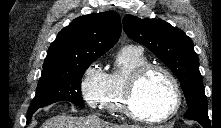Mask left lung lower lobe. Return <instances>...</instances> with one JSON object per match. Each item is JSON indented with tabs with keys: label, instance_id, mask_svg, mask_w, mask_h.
Wrapping results in <instances>:
<instances>
[{
	"label": "left lung lower lobe",
	"instance_id": "1",
	"mask_svg": "<svg viewBox=\"0 0 221 128\" xmlns=\"http://www.w3.org/2000/svg\"><path fill=\"white\" fill-rule=\"evenodd\" d=\"M204 128H211V122L208 121H198Z\"/></svg>",
	"mask_w": 221,
	"mask_h": 128
}]
</instances>
